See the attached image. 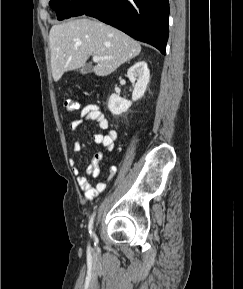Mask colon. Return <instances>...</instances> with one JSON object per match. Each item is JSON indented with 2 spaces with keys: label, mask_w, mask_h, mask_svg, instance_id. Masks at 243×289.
Returning <instances> with one entry per match:
<instances>
[{
  "label": "colon",
  "mask_w": 243,
  "mask_h": 289,
  "mask_svg": "<svg viewBox=\"0 0 243 289\" xmlns=\"http://www.w3.org/2000/svg\"><path fill=\"white\" fill-rule=\"evenodd\" d=\"M63 104H64V107L69 112L74 111V110L78 109V107H79V103L72 98L65 99Z\"/></svg>",
  "instance_id": "obj_1"
}]
</instances>
